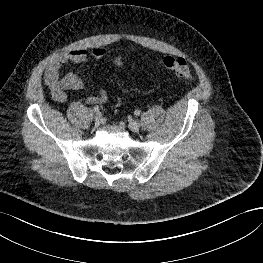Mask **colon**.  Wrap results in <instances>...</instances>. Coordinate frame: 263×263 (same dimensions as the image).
<instances>
[{
  "label": "colon",
  "instance_id": "obj_1",
  "mask_svg": "<svg viewBox=\"0 0 263 263\" xmlns=\"http://www.w3.org/2000/svg\"><path fill=\"white\" fill-rule=\"evenodd\" d=\"M161 64L165 69L172 71L186 83H193L194 76L190 70L188 62L184 58L167 56L162 60Z\"/></svg>",
  "mask_w": 263,
  "mask_h": 263
}]
</instances>
